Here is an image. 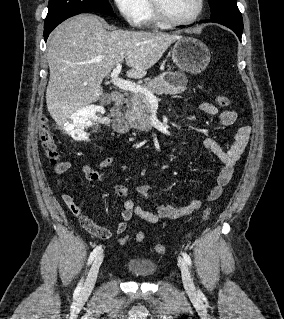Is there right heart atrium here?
<instances>
[{"label":"right heart atrium","mask_w":284,"mask_h":319,"mask_svg":"<svg viewBox=\"0 0 284 319\" xmlns=\"http://www.w3.org/2000/svg\"><path fill=\"white\" fill-rule=\"evenodd\" d=\"M122 18L131 26H141L147 11V0H113Z\"/></svg>","instance_id":"obj_1"}]
</instances>
